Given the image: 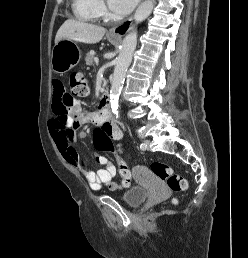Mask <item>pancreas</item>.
I'll return each instance as SVG.
<instances>
[{
  "mask_svg": "<svg viewBox=\"0 0 248 258\" xmlns=\"http://www.w3.org/2000/svg\"><path fill=\"white\" fill-rule=\"evenodd\" d=\"M94 54H95L94 51H90L89 53L86 54L85 61L88 66L93 65Z\"/></svg>",
  "mask_w": 248,
  "mask_h": 258,
  "instance_id": "pancreas-1",
  "label": "pancreas"
}]
</instances>
